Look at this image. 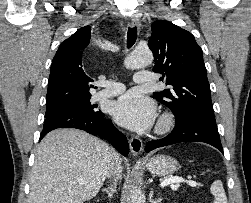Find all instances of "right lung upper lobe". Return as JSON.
Here are the masks:
<instances>
[{
	"instance_id": "right-lung-upper-lobe-1",
	"label": "right lung upper lobe",
	"mask_w": 251,
	"mask_h": 203,
	"mask_svg": "<svg viewBox=\"0 0 251 203\" xmlns=\"http://www.w3.org/2000/svg\"><path fill=\"white\" fill-rule=\"evenodd\" d=\"M90 26L77 30L58 48L51 65L46 108L85 100L91 97L93 81L83 70L82 55L90 42Z\"/></svg>"
}]
</instances>
